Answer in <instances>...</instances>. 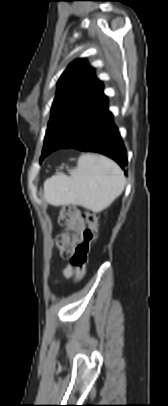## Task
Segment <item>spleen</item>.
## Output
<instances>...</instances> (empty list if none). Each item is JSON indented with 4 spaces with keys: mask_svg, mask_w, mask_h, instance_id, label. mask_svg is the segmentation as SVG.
<instances>
[{
    "mask_svg": "<svg viewBox=\"0 0 168 406\" xmlns=\"http://www.w3.org/2000/svg\"><path fill=\"white\" fill-rule=\"evenodd\" d=\"M125 187L121 168L98 154H84L70 176L57 173L44 182V198L52 205H79L99 213L120 196Z\"/></svg>",
    "mask_w": 168,
    "mask_h": 406,
    "instance_id": "3e777b00",
    "label": "spleen"
}]
</instances>
